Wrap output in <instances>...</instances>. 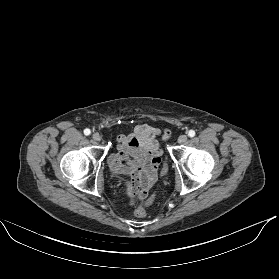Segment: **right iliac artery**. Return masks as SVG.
Returning a JSON list of instances; mask_svg holds the SVG:
<instances>
[{"label": "right iliac artery", "mask_w": 279, "mask_h": 279, "mask_svg": "<svg viewBox=\"0 0 279 279\" xmlns=\"http://www.w3.org/2000/svg\"><path fill=\"white\" fill-rule=\"evenodd\" d=\"M90 133H91L90 129H85V130H84V134H85L86 136L90 135Z\"/></svg>", "instance_id": "1"}]
</instances>
